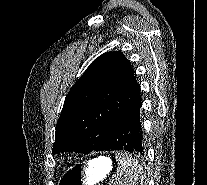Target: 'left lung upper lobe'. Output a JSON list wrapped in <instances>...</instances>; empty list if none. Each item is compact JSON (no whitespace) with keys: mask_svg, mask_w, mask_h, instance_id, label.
I'll return each mask as SVG.
<instances>
[{"mask_svg":"<svg viewBox=\"0 0 207 185\" xmlns=\"http://www.w3.org/2000/svg\"><path fill=\"white\" fill-rule=\"evenodd\" d=\"M140 98L130 61L120 51L96 58L65 98L53 154L90 153L102 146L120 116Z\"/></svg>","mask_w":207,"mask_h":185,"instance_id":"1","label":"left lung upper lobe"}]
</instances>
